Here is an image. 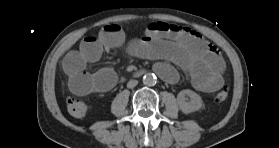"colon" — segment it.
<instances>
[{
    "instance_id": "5ec220e1",
    "label": "colon",
    "mask_w": 279,
    "mask_h": 148,
    "mask_svg": "<svg viewBox=\"0 0 279 148\" xmlns=\"http://www.w3.org/2000/svg\"><path fill=\"white\" fill-rule=\"evenodd\" d=\"M228 94V88L225 86L215 94L214 100L217 102H222L227 99ZM66 106L68 113L76 118L84 117L89 110L86 102L78 97H69L67 99Z\"/></svg>"
}]
</instances>
